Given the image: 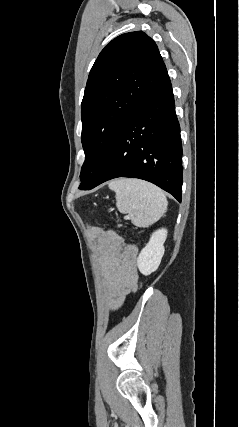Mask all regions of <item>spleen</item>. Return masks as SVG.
I'll return each instance as SVG.
<instances>
[{
  "instance_id": "spleen-1",
  "label": "spleen",
  "mask_w": 239,
  "mask_h": 427,
  "mask_svg": "<svg viewBox=\"0 0 239 427\" xmlns=\"http://www.w3.org/2000/svg\"><path fill=\"white\" fill-rule=\"evenodd\" d=\"M116 193V206L128 214L138 227H148L157 222L165 213L167 199L157 186L138 179L120 178L109 183Z\"/></svg>"
}]
</instances>
